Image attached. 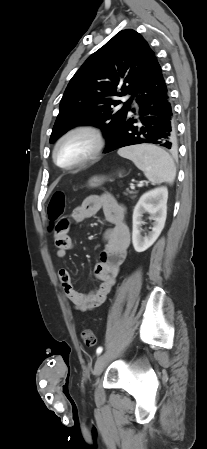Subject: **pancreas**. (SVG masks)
<instances>
[{
    "label": "pancreas",
    "mask_w": 207,
    "mask_h": 449,
    "mask_svg": "<svg viewBox=\"0 0 207 449\" xmlns=\"http://www.w3.org/2000/svg\"><path fill=\"white\" fill-rule=\"evenodd\" d=\"M127 192H128L129 194H132V195L136 194V192L130 191V190H128V189H127ZM134 197H135V196H133L132 198H134Z\"/></svg>",
    "instance_id": "cf45deb5"
}]
</instances>
